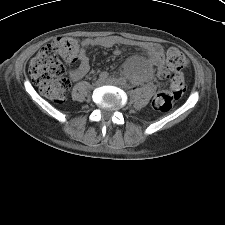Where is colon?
<instances>
[{
	"instance_id": "obj_1",
	"label": "colon",
	"mask_w": 225,
	"mask_h": 225,
	"mask_svg": "<svg viewBox=\"0 0 225 225\" xmlns=\"http://www.w3.org/2000/svg\"><path fill=\"white\" fill-rule=\"evenodd\" d=\"M79 54L77 39L61 36L44 45L29 64L28 72L40 92L54 103H62L69 92V81L64 77V62H75ZM187 59L182 51L173 48L167 52L166 66L159 76L170 80V89L158 92L152 101L161 112L169 111L184 93V78L181 70Z\"/></svg>"
}]
</instances>
